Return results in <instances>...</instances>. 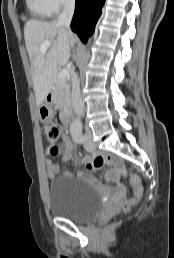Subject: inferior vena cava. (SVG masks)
Listing matches in <instances>:
<instances>
[{"label": "inferior vena cava", "mask_w": 174, "mask_h": 258, "mask_svg": "<svg viewBox=\"0 0 174 258\" xmlns=\"http://www.w3.org/2000/svg\"><path fill=\"white\" fill-rule=\"evenodd\" d=\"M75 0H66L62 13L58 16L57 25L63 26L70 31V23L74 14ZM71 103L75 114L78 117L83 115L84 103L80 96V82L76 73H72Z\"/></svg>", "instance_id": "602c4592"}]
</instances>
